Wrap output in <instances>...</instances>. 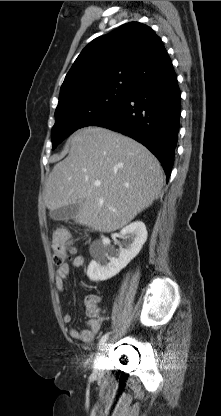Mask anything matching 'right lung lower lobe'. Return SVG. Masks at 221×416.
<instances>
[{"instance_id":"right-lung-lower-lobe-1","label":"right lung lower lobe","mask_w":221,"mask_h":416,"mask_svg":"<svg viewBox=\"0 0 221 416\" xmlns=\"http://www.w3.org/2000/svg\"><path fill=\"white\" fill-rule=\"evenodd\" d=\"M181 92L172 71L165 79L139 85L107 119L92 126L105 127L132 137L147 147L171 174L178 140Z\"/></svg>"}]
</instances>
